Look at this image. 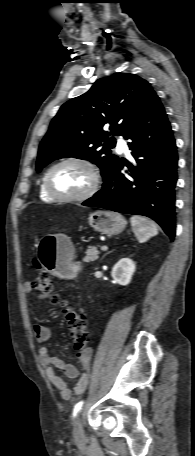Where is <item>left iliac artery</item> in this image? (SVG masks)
Wrapping results in <instances>:
<instances>
[{
	"label": "left iliac artery",
	"instance_id": "left-iliac-artery-1",
	"mask_svg": "<svg viewBox=\"0 0 195 456\" xmlns=\"http://www.w3.org/2000/svg\"><path fill=\"white\" fill-rule=\"evenodd\" d=\"M82 405H83V401H80L78 402L75 406H74V409H73V416L75 417L78 412L81 410L82 408Z\"/></svg>",
	"mask_w": 195,
	"mask_h": 456
}]
</instances>
